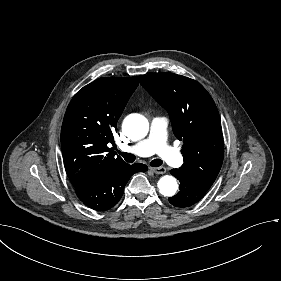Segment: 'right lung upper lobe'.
<instances>
[{"mask_svg":"<svg viewBox=\"0 0 281 281\" xmlns=\"http://www.w3.org/2000/svg\"><path fill=\"white\" fill-rule=\"evenodd\" d=\"M138 84L136 76L99 78L72 98L62 124L61 147L75 189L128 165L109 146L114 143L112 131Z\"/></svg>","mask_w":281,"mask_h":281,"instance_id":"obj_1","label":"right lung upper lobe"}]
</instances>
